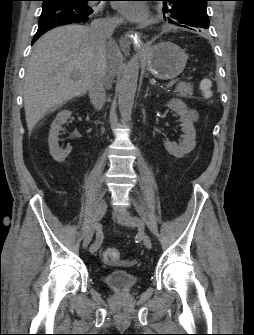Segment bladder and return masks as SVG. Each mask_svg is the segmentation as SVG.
Here are the masks:
<instances>
[{
    "label": "bladder",
    "mask_w": 254,
    "mask_h": 335,
    "mask_svg": "<svg viewBox=\"0 0 254 335\" xmlns=\"http://www.w3.org/2000/svg\"><path fill=\"white\" fill-rule=\"evenodd\" d=\"M104 282L116 291H128L136 284V276L133 272L123 269H115L108 272L104 277Z\"/></svg>",
    "instance_id": "obj_1"
}]
</instances>
